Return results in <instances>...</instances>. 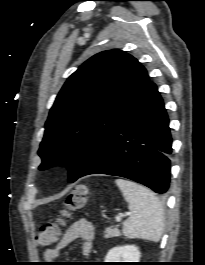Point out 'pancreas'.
I'll return each mask as SVG.
<instances>
[{
    "label": "pancreas",
    "mask_w": 205,
    "mask_h": 265,
    "mask_svg": "<svg viewBox=\"0 0 205 265\" xmlns=\"http://www.w3.org/2000/svg\"><path fill=\"white\" fill-rule=\"evenodd\" d=\"M105 238H112L120 236V231L118 229V225L115 227H108L105 229Z\"/></svg>",
    "instance_id": "obj_1"
}]
</instances>
